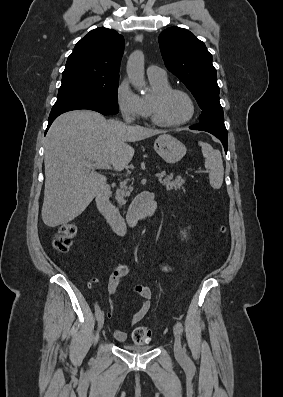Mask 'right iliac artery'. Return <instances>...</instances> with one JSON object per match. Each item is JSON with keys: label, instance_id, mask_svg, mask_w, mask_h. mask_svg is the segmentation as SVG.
<instances>
[{"label": "right iliac artery", "instance_id": "1", "mask_svg": "<svg viewBox=\"0 0 283 397\" xmlns=\"http://www.w3.org/2000/svg\"><path fill=\"white\" fill-rule=\"evenodd\" d=\"M101 313L102 312H101L100 307L98 305H96L95 306V316H96L97 319L100 317Z\"/></svg>", "mask_w": 283, "mask_h": 397}]
</instances>
